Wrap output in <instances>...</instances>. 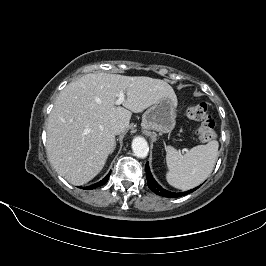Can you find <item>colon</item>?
<instances>
[{
    "mask_svg": "<svg viewBox=\"0 0 266 266\" xmlns=\"http://www.w3.org/2000/svg\"><path fill=\"white\" fill-rule=\"evenodd\" d=\"M186 115L189 119L199 122L196 129V136L201 142H209L216 136L214 122L205 103L188 105Z\"/></svg>",
    "mask_w": 266,
    "mask_h": 266,
    "instance_id": "colon-1",
    "label": "colon"
}]
</instances>
